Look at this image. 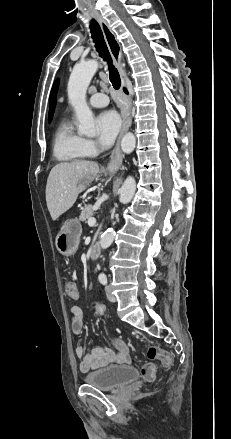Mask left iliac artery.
<instances>
[{"instance_id": "obj_1", "label": "left iliac artery", "mask_w": 231, "mask_h": 439, "mask_svg": "<svg viewBox=\"0 0 231 439\" xmlns=\"http://www.w3.org/2000/svg\"><path fill=\"white\" fill-rule=\"evenodd\" d=\"M99 281L101 282V284L106 285L107 284V277L105 275H101L99 277Z\"/></svg>"}]
</instances>
